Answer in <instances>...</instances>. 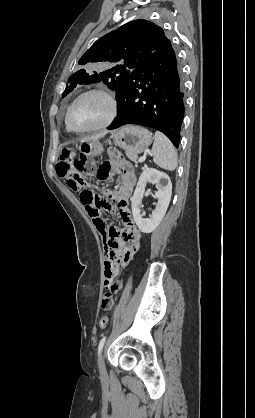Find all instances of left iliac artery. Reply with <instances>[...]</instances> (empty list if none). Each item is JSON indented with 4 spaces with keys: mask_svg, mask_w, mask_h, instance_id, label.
<instances>
[{
    "mask_svg": "<svg viewBox=\"0 0 255 418\" xmlns=\"http://www.w3.org/2000/svg\"><path fill=\"white\" fill-rule=\"evenodd\" d=\"M105 341H106V336H104V337L100 340V342H99V345H98V355H100V354H101V351H102V348H103V346H104V344H105Z\"/></svg>",
    "mask_w": 255,
    "mask_h": 418,
    "instance_id": "left-iliac-artery-1",
    "label": "left iliac artery"
}]
</instances>
